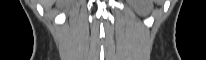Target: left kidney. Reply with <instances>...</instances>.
I'll return each instance as SVG.
<instances>
[{
    "label": "left kidney",
    "mask_w": 206,
    "mask_h": 60,
    "mask_svg": "<svg viewBox=\"0 0 206 60\" xmlns=\"http://www.w3.org/2000/svg\"><path fill=\"white\" fill-rule=\"evenodd\" d=\"M136 11L141 15H147L150 13L152 9V1L151 0H139L135 3Z\"/></svg>",
    "instance_id": "5707ae66"
}]
</instances>
